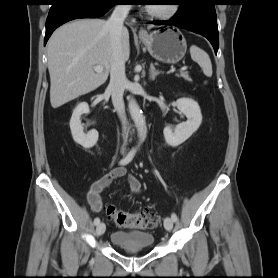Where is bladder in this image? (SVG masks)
Listing matches in <instances>:
<instances>
[{"instance_id": "bladder-1", "label": "bladder", "mask_w": 278, "mask_h": 278, "mask_svg": "<svg viewBox=\"0 0 278 278\" xmlns=\"http://www.w3.org/2000/svg\"><path fill=\"white\" fill-rule=\"evenodd\" d=\"M111 243L119 248L146 249L150 248L155 241L154 235L140 230L114 231L110 235Z\"/></svg>"}]
</instances>
